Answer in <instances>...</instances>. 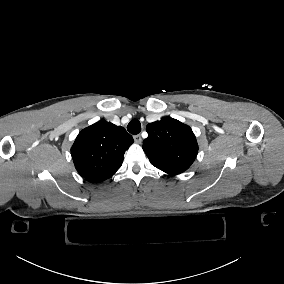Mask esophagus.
Returning a JSON list of instances; mask_svg holds the SVG:
<instances>
[{
  "mask_svg": "<svg viewBox=\"0 0 284 284\" xmlns=\"http://www.w3.org/2000/svg\"><path fill=\"white\" fill-rule=\"evenodd\" d=\"M133 138L136 143L141 144L142 138L140 135H134Z\"/></svg>",
  "mask_w": 284,
  "mask_h": 284,
  "instance_id": "esophagus-1",
  "label": "esophagus"
}]
</instances>
